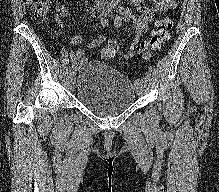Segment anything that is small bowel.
<instances>
[{"label": "small bowel", "mask_w": 219, "mask_h": 192, "mask_svg": "<svg viewBox=\"0 0 219 192\" xmlns=\"http://www.w3.org/2000/svg\"><path fill=\"white\" fill-rule=\"evenodd\" d=\"M132 5L139 10L140 15L137 16L132 8L121 7L118 9L120 17L124 21L132 22L135 26L136 38L134 42H138L140 36L148 31L149 25L159 15L167 11L174 10L176 8L175 0H151L152 7H148L144 4L143 0H130ZM99 9V5L96 6ZM56 22L61 29H64L63 18L69 16L67 8L57 3L55 6ZM70 44H80L85 42V39L81 36H73L67 39ZM105 42V37L98 35L88 41L87 46L89 48H96ZM133 42V43H134ZM149 54L145 55V58H149ZM70 59L77 66H82L88 63L89 59L86 56L85 49H77L70 53Z\"/></svg>", "instance_id": "c3829d8e"}]
</instances>
